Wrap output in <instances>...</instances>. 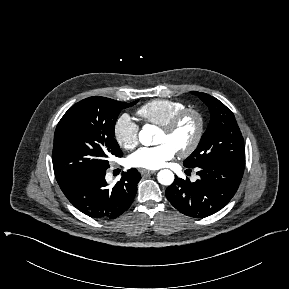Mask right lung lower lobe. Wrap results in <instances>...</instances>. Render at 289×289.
I'll use <instances>...</instances> for the list:
<instances>
[{"label": "right lung lower lobe", "instance_id": "98d812e1", "mask_svg": "<svg viewBox=\"0 0 289 289\" xmlns=\"http://www.w3.org/2000/svg\"><path fill=\"white\" fill-rule=\"evenodd\" d=\"M106 170L81 177L61 190L79 211L97 219H114L133 202L140 173L132 168L124 172L120 181L109 187Z\"/></svg>", "mask_w": 289, "mask_h": 289}]
</instances>
